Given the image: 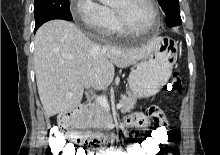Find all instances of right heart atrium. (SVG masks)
Returning a JSON list of instances; mask_svg holds the SVG:
<instances>
[{"label": "right heart atrium", "mask_w": 220, "mask_h": 155, "mask_svg": "<svg viewBox=\"0 0 220 155\" xmlns=\"http://www.w3.org/2000/svg\"><path fill=\"white\" fill-rule=\"evenodd\" d=\"M71 13L87 32L97 35H107L110 32L112 11L97 0H74Z\"/></svg>", "instance_id": "d8ad5b80"}]
</instances>
